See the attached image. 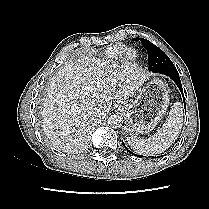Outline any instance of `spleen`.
<instances>
[{
    "instance_id": "3e777b00",
    "label": "spleen",
    "mask_w": 209,
    "mask_h": 209,
    "mask_svg": "<svg viewBox=\"0 0 209 209\" xmlns=\"http://www.w3.org/2000/svg\"><path fill=\"white\" fill-rule=\"evenodd\" d=\"M183 125V108L181 103L176 102L171 107L169 116L162 128L152 139L144 140L134 135L127 137L129 146L140 155H154L163 153L178 138Z\"/></svg>"
}]
</instances>
